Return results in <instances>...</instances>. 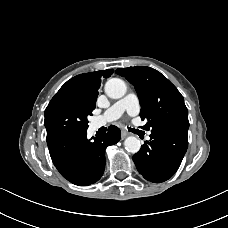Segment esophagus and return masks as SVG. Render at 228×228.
<instances>
[{"label": "esophagus", "mask_w": 228, "mask_h": 228, "mask_svg": "<svg viewBox=\"0 0 228 228\" xmlns=\"http://www.w3.org/2000/svg\"><path fill=\"white\" fill-rule=\"evenodd\" d=\"M128 135H129V133L127 131H125V130H122L121 131V137H122V139H125Z\"/></svg>", "instance_id": "esophagus-1"}]
</instances>
